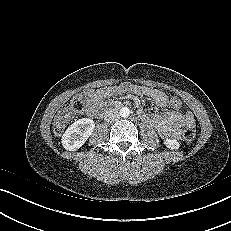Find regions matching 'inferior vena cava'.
I'll list each match as a JSON object with an SVG mask.
<instances>
[{"instance_id": "inferior-vena-cava-1", "label": "inferior vena cava", "mask_w": 231, "mask_h": 231, "mask_svg": "<svg viewBox=\"0 0 231 231\" xmlns=\"http://www.w3.org/2000/svg\"><path fill=\"white\" fill-rule=\"evenodd\" d=\"M120 118V115L117 110L109 109L104 113V120L106 122H114Z\"/></svg>"}]
</instances>
